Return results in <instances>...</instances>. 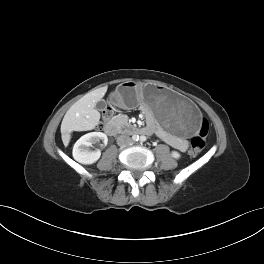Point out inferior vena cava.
Segmentation results:
<instances>
[{
    "mask_svg": "<svg viewBox=\"0 0 264 264\" xmlns=\"http://www.w3.org/2000/svg\"><path fill=\"white\" fill-rule=\"evenodd\" d=\"M132 143V139L129 136L121 135L117 138V144L119 146H127Z\"/></svg>",
    "mask_w": 264,
    "mask_h": 264,
    "instance_id": "inferior-vena-cava-1",
    "label": "inferior vena cava"
}]
</instances>
